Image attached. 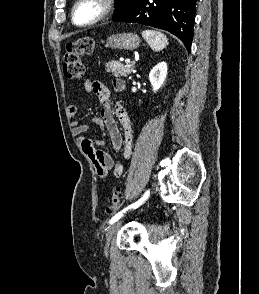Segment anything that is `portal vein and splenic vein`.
<instances>
[{
  "label": "portal vein and splenic vein",
  "instance_id": "portal-vein-and-splenic-vein-1",
  "mask_svg": "<svg viewBox=\"0 0 259 294\" xmlns=\"http://www.w3.org/2000/svg\"><path fill=\"white\" fill-rule=\"evenodd\" d=\"M125 63H126V64H130V59H126V60H125Z\"/></svg>",
  "mask_w": 259,
  "mask_h": 294
}]
</instances>
